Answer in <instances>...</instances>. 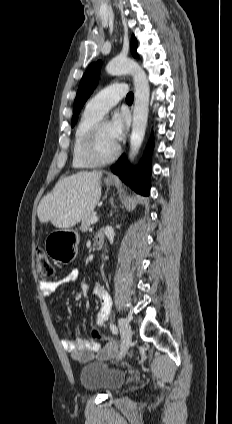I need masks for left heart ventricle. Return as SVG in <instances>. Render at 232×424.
<instances>
[{"label": "left heart ventricle", "mask_w": 232, "mask_h": 424, "mask_svg": "<svg viewBox=\"0 0 232 424\" xmlns=\"http://www.w3.org/2000/svg\"><path fill=\"white\" fill-rule=\"evenodd\" d=\"M117 144L112 139L108 122L104 123L100 129L97 141V153L100 157L110 156L116 149Z\"/></svg>", "instance_id": "left-heart-ventricle-1"}]
</instances>
